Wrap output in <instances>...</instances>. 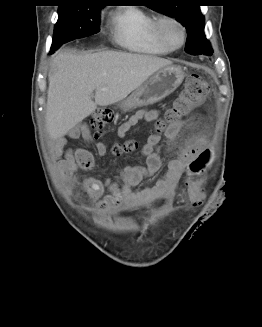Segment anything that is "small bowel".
Instances as JSON below:
<instances>
[{
    "label": "small bowel",
    "mask_w": 262,
    "mask_h": 327,
    "mask_svg": "<svg viewBox=\"0 0 262 327\" xmlns=\"http://www.w3.org/2000/svg\"><path fill=\"white\" fill-rule=\"evenodd\" d=\"M158 110H140L130 116L119 128L117 135L125 137L129 130L139 122H152L159 118ZM183 123L172 124L164 133L155 131L150 134L141 148L144 161L137 165H127L115 170L116 176L121 183L118 184L110 179H99L88 174H80L76 179L89 198L97 201V208L100 212H110L112 210H132L138 207L150 205L162 199L172 198L186 173V165L199 164L196 159L197 153H205L202 149V140L189 137L179 147L177 158L170 161L163 176L153 186L144 187L138 191L133 188L139 185L143 179L153 176L162 165L161 159V139L164 136L167 143H173L181 130ZM81 136L86 142L93 144L98 155L104 156L107 153V146L95 141L89 128L82 124L77 129H72L67 134L68 138ZM56 156L61 157L63 151L58 149ZM94 167V158L86 149L78 148L68 150L62 158L58 160L57 172L63 179L74 180L78 168L90 170ZM187 189L188 198L191 199V206H206V188H193L190 184ZM107 194L104 195V192Z\"/></svg>",
    "instance_id": "small-bowel-1"
}]
</instances>
